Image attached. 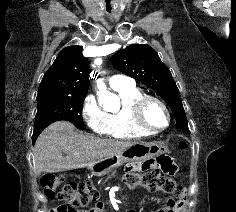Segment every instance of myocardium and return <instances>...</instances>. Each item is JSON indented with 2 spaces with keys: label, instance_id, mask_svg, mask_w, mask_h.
Here are the masks:
<instances>
[{
  "label": "myocardium",
  "instance_id": "myocardium-1",
  "mask_svg": "<svg viewBox=\"0 0 236 212\" xmlns=\"http://www.w3.org/2000/svg\"><path fill=\"white\" fill-rule=\"evenodd\" d=\"M151 103H155L159 105L163 111L165 112L167 122L166 125L160 128L152 126L146 118V112L147 108ZM132 116H133V121L136 124L137 127L140 129L152 133V134H157L160 133L164 130H166L170 124H171V113L166 105V103L161 100L160 98L153 96V95H147L143 94L141 97H139L132 106Z\"/></svg>",
  "mask_w": 236,
  "mask_h": 212
}]
</instances>
